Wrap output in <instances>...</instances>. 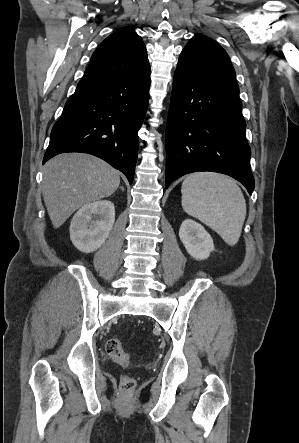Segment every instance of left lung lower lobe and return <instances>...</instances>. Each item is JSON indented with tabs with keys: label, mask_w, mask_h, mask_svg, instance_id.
I'll use <instances>...</instances> for the list:
<instances>
[{
	"label": "left lung lower lobe",
	"mask_w": 299,
	"mask_h": 443,
	"mask_svg": "<svg viewBox=\"0 0 299 443\" xmlns=\"http://www.w3.org/2000/svg\"><path fill=\"white\" fill-rule=\"evenodd\" d=\"M239 95L175 71L166 127V183L212 171L241 182L251 195L254 177Z\"/></svg>",
	"instance_id": "0a47b994"
}]
</instances>
